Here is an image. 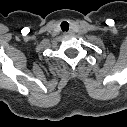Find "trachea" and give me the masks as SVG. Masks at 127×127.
<instances>
[{
	"label": "trachea",
	"instance_id": "1",
	"mask_svg": "<svg viewBox=\"0 0 127 127\" xmlns=\"http://www.w3.org/2000/svg\"><path fill=\"white\" fill-rule=\"evenodd\" d=\"M61 29H62V31H66L67 32L69 30V23L66 22V21H63L61 23Z\"/></svg>",
	"mask_w": 127,
	"mask_h": 127
}]
</instances>
